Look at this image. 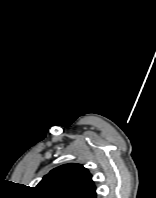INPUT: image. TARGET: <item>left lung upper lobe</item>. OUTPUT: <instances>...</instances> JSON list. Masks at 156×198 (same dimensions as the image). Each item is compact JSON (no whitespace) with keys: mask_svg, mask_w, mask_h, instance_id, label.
I'll return each instance as SVG.
<instances>
[{"mask_svg":"<svg viewBox=\"0 0 156 198\" xmlns=\"http://www.w3.org/2000/svg\"><path fill=\"white\" fill-rule=\"evenodd\" d=\"M40 198H96L89 171L80 164L59 166L35 187Z\"/></svg>","mask_w":156,"mask_h":198,"instance_id":"5c2ea615","label":"left lung upper lobe"}]
</instances>
